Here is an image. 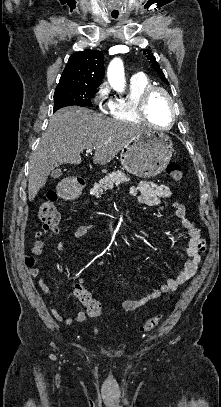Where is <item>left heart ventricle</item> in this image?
I'll use <instances>...</instances> for the list:
<instances>
[{
    "label": "left heart ventricle",
    "instance_id": "b2bd125f",
    "mask_svg": "<svg viewBox=\"0 0 221 407\" xmlns=\"http://www.w3.org/2000/svg\"><path fill=\"white\" fill-rule=\"evenodd\" d=\"M149 116L153 123L160 126H168L171 120V108L166 97L156 94L148 106Z\"/></svg>",
    "mask_w": 221,
    "mask_h": 407
}]
</instances>
